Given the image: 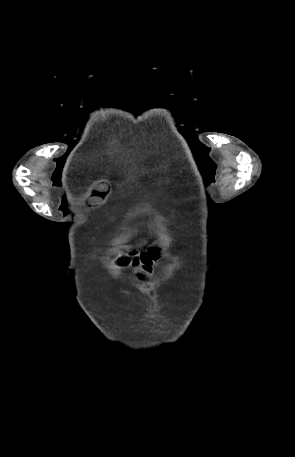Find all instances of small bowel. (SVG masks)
Returning <instances> with one entry per match:
<instances>
[{
    "label": "small bowel",
    "instance_id": "c3829d8e",
    "mask_svg": "<svg viewBox=\"0 0 295 457\" xmlns=\"http://www.w3.org/2000/svg\"><path fill=\"white\" fill-rule=\"evenodd\" d=\"M158 257L159 252L157 250H151L145 256L134 261L135 266H137L136 275L138 278L143 279L153 272Z\"/></svg>",
    "mask_w": 295,
    "mask_h": 457
}]
</instances>
